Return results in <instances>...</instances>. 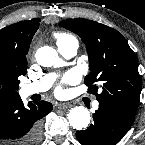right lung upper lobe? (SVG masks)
<instances>
[{
  "label": "right lung upper lobe",
  "mask_w": 145,
  "mask_h": 145,
  "mask_svg": "<svg viewBox=\"0 0 145 145\" xmlns=\"http://www.w3.org/2000/svg\"><path fill=\"white\" fill-rule=\"evenodd\" d=\"M39 21L37 18L21 21L0 30V62H10L26 74V54Z\"/></svg>",
  "instance_id": "obj_1"
}]
</instances>
